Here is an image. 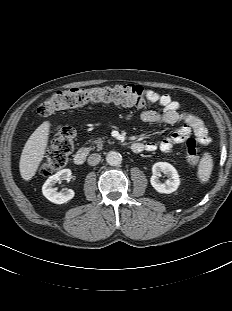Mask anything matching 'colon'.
<instances>
[{"label": "colon", "instance_id": "colon-1", "mask_svg": "<svg viewBox=\"0 0 232 311\" xmlns=\"http://www.w3.org/2000/svg\"><path fill=\"white\" fill-rule=\"evenodd\" d=\"M146 99L144 89L136 85L72 88L57 92L44 100L38 107V114L46 117L54 112L76 108L87 103H114L126 107L143 108L147 104ZM74 141V128L67 125L60 126L40 166V173L49 175L63 168L74 150ZM186 161L191 167L199 162L198 143L192 137L186 140Z\"/></svg>", "mask_w": 232, "mask_h": 311}]
</instances>
